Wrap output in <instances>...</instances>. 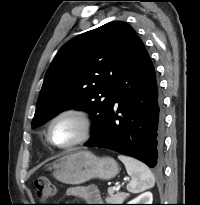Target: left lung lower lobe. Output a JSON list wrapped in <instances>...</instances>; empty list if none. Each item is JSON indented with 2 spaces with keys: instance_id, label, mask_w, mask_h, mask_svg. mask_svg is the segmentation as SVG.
Wrapping results in <instances>:
<instances>
[{
  "instance_id": "1",
  "label": "left lung lower lobe",
  "mask_w": 200,
  "mask_h": 205,
  "mask_svg": "<svg viewBox=\"0 0 200 205\" xmlns=\"http://www.w3.org/2000/svg\"><path fill=\"white\" fill-rule=\"evenodd\" d=\"M113 90L114 97L105 122L97 137L85 146L111 149L151 168L160 166L163 146L161 99L154 66L139 37Z\"/></svg>"
}]
</instances>
